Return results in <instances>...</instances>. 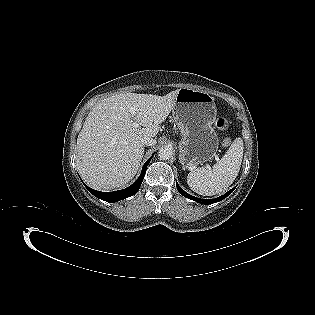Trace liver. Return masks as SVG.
<instances>
[{
  "mask_svg": "<svg viewBox=\"0 0 315 315\" xmlns=\"http://www.w3.org/2000/svg\"><path fill=\"white\" fill-rule=\"evenodd\" d=\"M178 91L165 96L120 93L94 105L77 138V168L90 187L115 189L136 175L144 155L142 140L158 134Z\"/></svg>",
  "mask_w": 315,
  "mask_h": 315,
  "instance_id": "6515ba94",
  "label": "liver"
}]
</instances>
